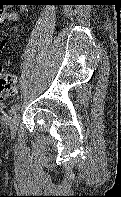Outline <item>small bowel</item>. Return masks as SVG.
I'll use <instances>...</instances> for the list:
<instances>
[{"label": "small bowel", "instance_id": "1", "mask_svg": "<svg viewBox=\"0 0 121 197\" xmlns=\"http://www.w3.org/2000/svg\"><path fill=\"white\" fill-rule=\"evenodd\" d=\"M24 11V8H21V12ZM20 13L15 11H8L7 8L0 6V24L4 21L16 22L19 20ZM6 44L5 41L2 42L1 46L4 47Z\"/></svg>", "mask_w": 121, "mask_h": 197}]
</instances>
